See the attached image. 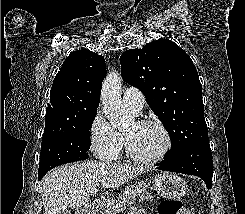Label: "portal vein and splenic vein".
I'll return each mask as SVG.
<instances>
[{"mask_svg": "<svg viewBox=\"0 0 245 214\" xmlns=\"http://www.w3.org/2000/svg\"><path fill=\"white\" fill-rule=\"evenodd\" d=\"M96 192H97V189L95 187H93V188L90 189V193L92 195L96 194Z\"/></svg>", "mask_w": 245, "mask_h": 214, "instance_id": "1", "label": "portal vein and splenic vein"}]
</instances>
